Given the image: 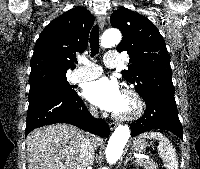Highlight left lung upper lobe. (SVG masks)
I'll use <instances>...</instances> for the list:
<instances>
[{
	"instance_id": "1",
	"label": "left lung upper lobe",
	"mask_w": 200,
	"mask_h": 169,
	"mask_svg": "<svg viewBox=\"0 0 200 169\" xmlns=\"http://www.w3.org/2000/svg\"><path fill=\"white\" fill-rule=\"evenodd\" d=\"M111 24L123 33L117 51L130 56L129 69L122 71L124 79L135 85L142 98L150 93L174 95L170 57L155 25L125 8L114 11Z\"/></svg>"
}]
</instances>
